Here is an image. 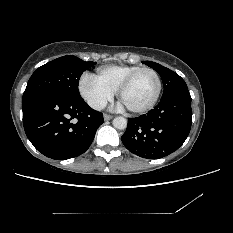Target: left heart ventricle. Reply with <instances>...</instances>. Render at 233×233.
Returning a JSON list of instances; mask_svg holds the SVG:
<instances>
[{
    "instance_id": "b2bd125f",
    "label": "left heart ventricle",
    "mask_w": 233,
    "mask_h": 233,
    "mask_svg": "<svg viewBox=\"0 0 233 233\" xmlns=\"http://www.w3.org/2000/svg\"><path fill=\"white\" fill-rule=\"evenodd\" d=\"M156 78L151 72H144L122 94L121 103L125 107L139 108L149 103L156 92Z\"/></svg>"
}]
</instances>
